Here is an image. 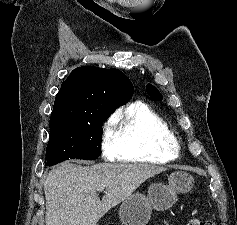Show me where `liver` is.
<instances>
[{"mask_svg":"<svg viewBox=\"0 0 237 225\" xmlns=\"http://www.w3.org/2000/svg\"><path fill=\"white\" fill-rule=\"evenodd\" d=\"M166 168L148 164L82 166L63 162L44 182L46 225H96L113 207L126 200L148 178ZM106 186L102 200L98 188Z\"/></svg>","mask_w":237,"mask_h":225,"instance_id":"6515ba94","label":"liver"}]
</instances>
